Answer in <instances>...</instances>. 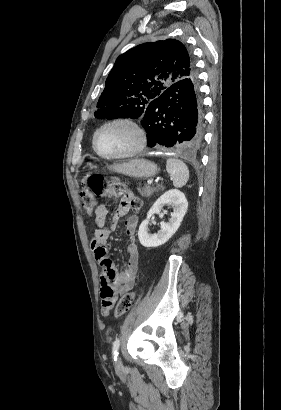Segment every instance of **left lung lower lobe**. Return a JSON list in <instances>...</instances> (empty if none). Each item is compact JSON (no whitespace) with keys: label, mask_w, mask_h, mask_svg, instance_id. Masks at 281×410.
<instances>
[{"label":"left lung lower lobe","mask_w":281,"mask_h":410,"mask_svg":"<svg viewBox=\"0 0 281 410\" xmlns=\"http://www.w3.org/2000/svg\"><path fill=\"white\" fill-rule=\"evenodd\" d=\"M149 147L163 145L196 149L203 140V112L197 76L192 75L165 89L151 101L141 118Z\"/></svg>","instance_id":"1"}]
</instances>
